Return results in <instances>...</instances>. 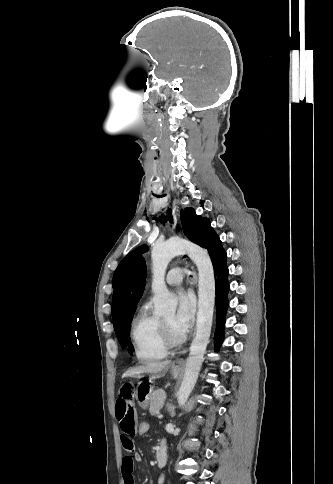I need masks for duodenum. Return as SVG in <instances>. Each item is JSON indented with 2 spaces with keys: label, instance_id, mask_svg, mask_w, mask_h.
Here are the masks:
<instances>
[{
  "label": "duodenum",
  "instance_id": "1",
  "mask_svg": "<svg viewBox=\"0 0 333 484\" xmlns=\"http://www.w3.org/2000/svg\"><path fill=\"white\" fill-rule=\"evenodd\" d=\"M167 455H168L167 448L164 444L157 447L155 451V459L158 467L164 466L167 459Z\"/></svg>",
  "mask_w": 333,
  "mask_h": 484
}]
</instances>
